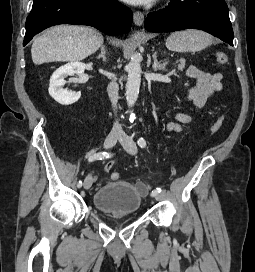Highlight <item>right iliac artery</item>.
I'll use <instances>...</instances> for the list:
<instances>
[{
    "label": "right iliac artery",
    "instance_id": "obj_1",
    "mask_svg": "<svg viewBox=\"0 0 255 272\" xmlns=\"http://www.w3.org/2000/svg\"><path fill=\"white\" fill-rule=\"evenodd\" d=\"M112 156L111 153H108V152H98V153H95V154H91L88 158V161L89 162H92L94 160H102V159H107V158H110ZM82 186V181H79L77 183V187L80 188Z\"/></svg>",
    "mask_w": 255,
    "mask_h": 272
}]
</instances>
